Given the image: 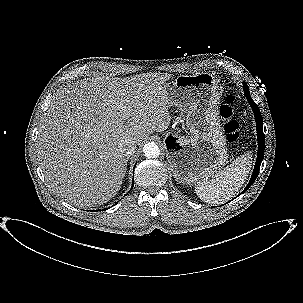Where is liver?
<instances>
[{
  "instance_id": "1",
  "label": "liver",
  "mask_w": 303,
  "mask_h": 303,
  "mask_svg": "<svg viewBox=\"0 0 303 303\" xmlns=\"http://www.w3.org/2000/svg\"><path fill=\"white\" fill-rule=\"evenodd\" d=\"M170 77L99 74L57 93L43 115L37 139L40 165L53 192L81 208L112 199L127 170L121 141L129 137L139 144L170 125L165 92Z\"/></svg>"
}]
</instances>
